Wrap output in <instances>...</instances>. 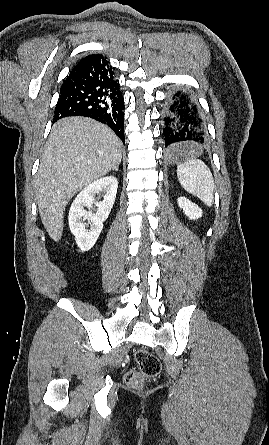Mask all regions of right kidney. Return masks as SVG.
<instances>
[{
    "mask_svg": "<svg viewBox=\"0 0 269 445\" xmlns=\"http://www.w3.org/2000/svg\"><path fill=\"white\" fill-rule=\"evenodd\" d=\"M118 188L117 178L107 176L86 186L74 199L68 216L69 227L75 236L76 243L82 251H89L96 243L102 229L103 222L108 218L113 207ZM104 192V199L100 202L95 200V195ZM97 207V213L92 214L85 207ZM88 220L91 228H86Z\"/></svg>",
    "mask_w": 269,
    "mask_h": 445,
    "instance_id": "obj_1",
    "label": "right kidney"
}]
</instances>
